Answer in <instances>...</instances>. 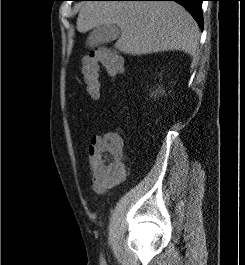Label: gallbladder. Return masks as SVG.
Returning a JSON list of instances; mask_svg holds the SVG:
<instances>
[{
	"label": "gallbladder",
	"instance_id": "bac80fb5",
	"mask_svg": "<svg viewBox=\"0 0 245 265\" xmlns=\"http://www.w3.org/2000/svg\"><path fill=\"white\" fill-rule=\"evenodd\" d=\"M120 29L117 25H99L94 27L88 37V44L90 46H99L110 43L118 39Z\"/></svg>",
	"mask_w": 245,
	"mask_h": 265
}]
</instances>
